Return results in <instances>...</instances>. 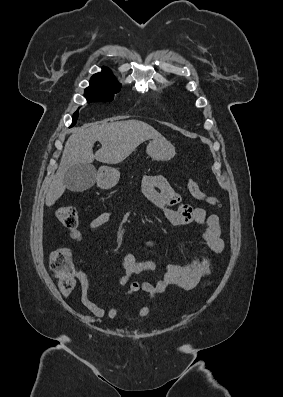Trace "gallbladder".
<instances>
[{
	"label": "gallbladder",
	"mask_w": 283,
	"mask_h": 397,
	"mask_svg": "<svg viewBox=\"0 0 283 397\" xmlns=\"http://www.w3.org/2000/svg\"><path fill=\"white\" fill-rule=\"evenodd\" d=\"M96 180V170L90 164L71 166L64 174L66 188L73 192H83L91 188Z\"/></svg>",
	"instance_id": "gallbladder-1"
}]
</instances>
